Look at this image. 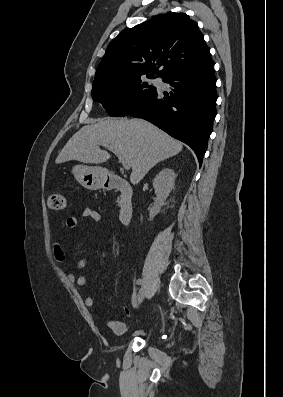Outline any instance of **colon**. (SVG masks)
I'll use <instances>...</instances> for the list:
<instances>
[{
	"label": "colon",
	"instance_id": "obj_1",
	"mask_svg": "<svg viewBox=\"0 0 283 397\" xmlns=\"http://www.w3.org/2000/svg\"><path fill=\"white\" fill-rule=\"evenodd\" d=\"M47 203L52 210H62L65 207V198L61 193L52 192L48 196Z\"/></svg>",
	"mask_w": 283,
	"mask_h": 397
}]
</instances>
